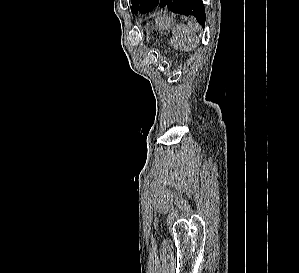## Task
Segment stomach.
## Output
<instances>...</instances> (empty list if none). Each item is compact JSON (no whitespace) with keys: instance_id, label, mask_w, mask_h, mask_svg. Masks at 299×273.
Wrapping results in <instances>:
<instances>
[{"instance_id":"obj_1","label":"stomach","mask_w":299,"mask_h":273,"mask_svg":"<svg viewBox=\"0 0 299 273\" xmlns=\"http://www.w3.org/2000/svg\"><path fill=\"white\" fill-rule=\"evenodd\" d=\"M155 26L159 29H169L173 26V21L168 17H159L155 20Z\"/></svg>"}]
</instances>
